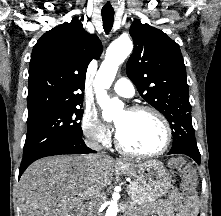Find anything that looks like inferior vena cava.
Wrapping results in <instances>:
<instances>
[{"label":"inferior vena cava","instance_id":"1","mask_svg":"<svg viewBox=\"0 0 221 216\" xmlns=\"http://www.w3.org/2000/svg\"><path fill=\"white\" fill-rule=\"evenodd\" d=\"M87 145L93 149V150H96L98 152H100L102 150V147L99 145V143L93 139H90L88 140L87 142ZM100 157V154H95V155H88V159H89V162H90V167L92 169H96L97 167V160L98 158ZM101 189H97V196L96 197H99V193H100ZM97 209H98V204L96 202H94L93 204H91L88 208V216H97Z\"/></svg>","mask_w":221,"mask_h":216}]
</instances>
